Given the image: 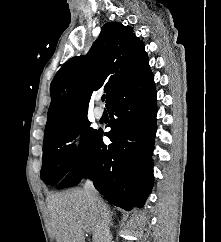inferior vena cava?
Here are the masks:
<instances>
[{
	"instance_id": "obj_1",
	"label": "inferior vena cava",
	"mask_w": 221,
	"mask_h": 242,
	"mask_svg": "<svg viewBox=\"0 0 221 242\" xmlns=\"http://www.w3.org/2000/svg\"><path fill=\"white\" fill-rule=\"evenodd\" d=\"M84 190L96 217L94 242H111L110 219L107 205L99 197L91 180H86Z\"/></svg>"
}]
</instances>
